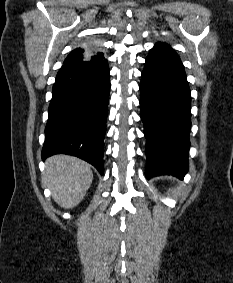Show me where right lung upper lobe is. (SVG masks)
Masks as SVG:
<instances>
[{
    "mask_svg": "<svg viewBox=\"0 0 233 283\" xmlns=\"http://www.w3.org/2000/svg\"><path fill=\"white\" fill-rule=\"evenodd\" d=\"M100 44H79V48L74 49L67 56L64 64L76 63L85 60L100 61L104 54H113V49H100Z\"/></svg>",
    "mask_w": 233,
    "mask_h": 283,
    "instance_id": "cb5924a9",
    "label": "right lung upper lobe"
}]
</instances>
